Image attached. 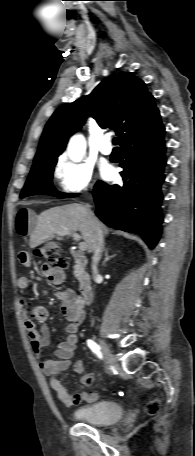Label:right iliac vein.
Segmentation results:
<instances>
[{
    "mask_svg": "<svg viewBox=\"0 0 195 456\" xmlns=\"http://www.w3.org/2000/svg\"><path fill=\"white\" fill-rule=\"evenodd\" d=\"M98 343L107 362L112 366L115 365L116 360L113 354L111 353L109 346L100 339H98Z\"/></svg>",
    "mask_w": 195,
    "mask_h": 456,
    "instance_id": "1",
    "label": "right iliac vein"
}]
</instances>
